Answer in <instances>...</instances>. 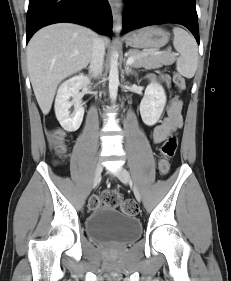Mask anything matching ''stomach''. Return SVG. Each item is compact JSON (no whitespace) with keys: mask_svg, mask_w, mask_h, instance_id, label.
<instances>
[{"mask_svg":"<svg viewBox=\"0 0 231 281\" xmlns=\"http://www.w3.org/2000/svg\"><path fill=\"white\" fill-rule=\"evenodd\" d=\"M124 39L133 48H160L169 41V34L160 27L150 26L131 32Z\"/></svg>","mask_w":231,"mask_h":281,"instance_id":"stomach-1","label":"stomach"}]
</instances>
